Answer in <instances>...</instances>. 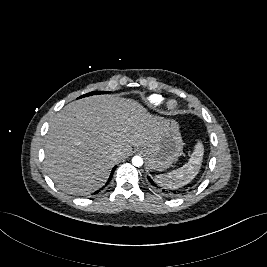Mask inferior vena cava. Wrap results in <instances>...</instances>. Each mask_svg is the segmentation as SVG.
<instances>
[{"label": "inferior vena cava", "instance_id": "602c4592", "mask_svg": "<svg viewBox=\"0 0 267 267\" xmlns=\"http://www.w3.org/2000/svg\"><path fill=\"white\" fill-rule=\"evenodd\" d=\"M121 155V151L119 149H115L112 153L114 158H118Z\"/></svg>", "mask_w": 267, "mask_h": 267}]
</instances>
